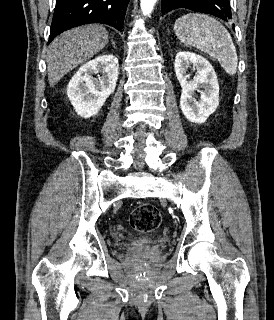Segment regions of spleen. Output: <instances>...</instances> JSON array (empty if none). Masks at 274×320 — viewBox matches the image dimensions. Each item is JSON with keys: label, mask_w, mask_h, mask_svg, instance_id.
<instances>
[{"label": "spleen", "mask_w": 274, "mask_h": 320, "mask_svg": "<svg viewBox=\"0 0 274 320\" xmlns=\"http://www.w3.org/2000/svg\"><path fill=\"white\" fill-rule=\"evenodd\" d=\"M174 32L183 44L194 46L218 60L226 74H236V48L229 32L218 20L205 14H186L176 20Z\"/></svg>", "instance_id": "obj_1"}]
</instances>
